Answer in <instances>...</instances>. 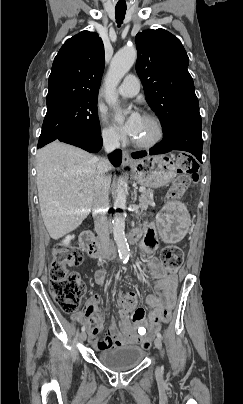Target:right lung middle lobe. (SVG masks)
Returning <instances> with one entry per match:
<instances>
[{
  "label": "right lung middle lobe",
  "mask_w": 243,
  "mask_h": 404,
  "mask_svg": "<svg viewBox=\"0 0 243 404\" xmlns=\"http://www.w3.org/2000/svg\"><path fill=\"white\" fill-rule=\"evenodd\" d=\"M68 130L100 134L97 98L61 100L47 105L38 148Z\"/></svg>",
  "instance_id": "right-lung-middle-lobe-1"
}]
</instances>
